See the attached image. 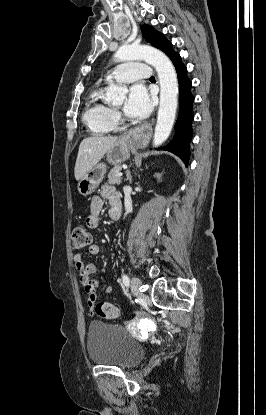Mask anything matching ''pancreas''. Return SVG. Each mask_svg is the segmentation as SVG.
I'll list each match as a JSON object with an SVG mask.
<instances>
[{"mask_svg":"<svg viewBox=\"0 0 266 415\" xmlns=\"http://www.w3.org/2000/svg\"><path fill=\"white\" fill-rule=\"evenodd\" d=\"M121 166L119 165H115L109 172L108 174V180H107V184L109 185H119L121 184L122 180L121 177H117V173H119L121 171Z\"/></svg>","mask_w":266,"mask_h":415,"instance_id":"1","label":"pancreas"}]
</instances>
